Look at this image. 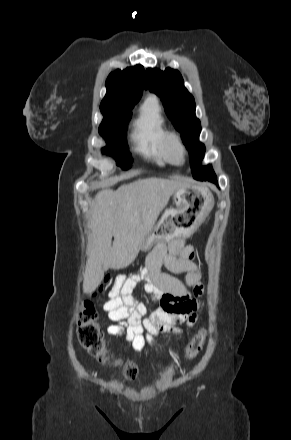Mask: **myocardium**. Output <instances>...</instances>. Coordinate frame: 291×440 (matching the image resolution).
I'll list each match as a JSON object with an SVG mask.
<instances>
[{
	"mask_svg": "<svg viewBox=\"0 0 291 440\" xmlns=\"http://www.w3.org/2000/svg\"><path fill=\"white\" fill-rule=\"evenodd\" d=\"M166 151L169 161L173 164H181L185 160V146L177 133L169 132L166 136Z\"/></svg>",
	"mask_w": 291,
	"mask_h": 440,
	"instance_id": "f54148a6",
	"label": "myocardium"
}]
</instances>
